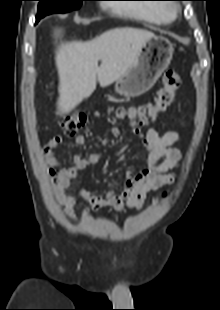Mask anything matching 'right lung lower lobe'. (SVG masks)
Segmentation results:
<instances>
[{
	"label": "right lung lower lobe",
	"instance_id": "right-lung-lower-lobe-1",
	"mask_svg": "<svg viewBox=\"0 0 220 310\" xmlns=\"http://www.w3.org/2000/svg\"><path fill=\"white\" fill-rule=\"evenodd\" d=\"M41 18L39 17H36V23H38V21L40 20Z\"/></svg>",
	"mask_w": 220,
	"mask_h": 310
}]
</instances>
